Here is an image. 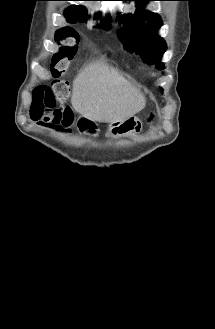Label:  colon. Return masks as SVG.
<instances>
[{"label": "colon", "mask_w": 215, "mask_h": 329, "mask_svg": "<svg viewBox=\"0 0 215 329\" xmlns=\"http://www.w3.org/2000/svg\"><path fill=\"white\" fill-rule=\"evenodd\" d=\"M55 36L58 50L49 68L53 76V84L52 87L34 86L31 114H70V107H67L68 84L63 77L75 49H79L80 44L83 43V38L80 37V31H75L74 25H64L62 30L56 31Z\"/></svg>", "instance_id": "1"}]
</instances>
